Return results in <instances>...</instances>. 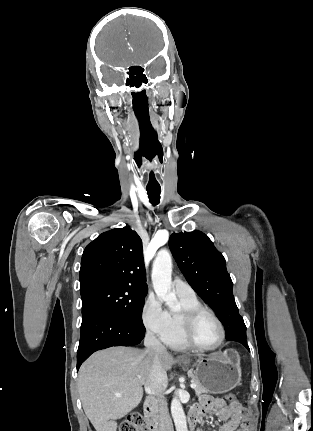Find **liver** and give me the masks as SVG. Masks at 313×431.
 I'll use <instances>...</instances> for the list:
<instances>
[{
  "label": "liver",
  "mask_w": 313,
  "mask_h": 431,
  "mask_svg": "<svg viewBox=\"0 0 313 431\" xmlns=\"http://www.w3.org/2000/svg\"><path fill=\"white\" fill-rule=\"evenodd\" d=\"M174 363L170 354L161 356L165 371ZM151 364L147 350L127 347L98 351L84 362L78 373V391L96 431H116V420L138 406Z\"/></svg>",
  "instance_id": "liver-1"
}]
</instances>
